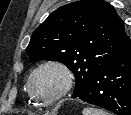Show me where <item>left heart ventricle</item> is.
<instances>
[{"instance_id":"obj_1","label":"left heart ventricle","mask_w":131,"mask_h":115,"mask_svg":"<svg viewBox=\"0 0 131 115\" xmlns=\"http://www.w3.org/2000/svg\"><path fill=\"white\" fill-rule=\"evenodd\" d=\"M62 85L60 73L54 69H44L33 79V90L42 99L55 95Z\"/></svg>"}]
</instances>
